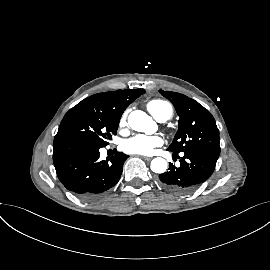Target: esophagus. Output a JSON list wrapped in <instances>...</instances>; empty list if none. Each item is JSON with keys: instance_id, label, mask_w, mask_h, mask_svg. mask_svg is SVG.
I'll list each match as a JSON object with an SVG mask.
<instances>
[{"instance_id": "34e87169", "label": "esophagus", "mask_w": 270, "mask_h": 270, "mask_svg": "<svg viewBox=\"0 0 270 270\" xmlns=\"http://www.w3.org/2000/svg\"><path fill=\"white\" fill-rule=\"evenodd\" d=\"M143 159H145L147 161H150L152 159V157H146V156H144Z\"/></svg>"}]
</instances>
